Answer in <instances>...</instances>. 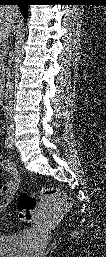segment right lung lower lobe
Here are the masks:
<instances>
[{
	"instance_id": "obj_1",
	"label": "right lung lower lobe",
	"mask_w": 106,
	"mask_h": 257,
	"mask_svg": "<svg viewBox=\"0 0 106 257\" xmlns=\"http://www.w3.org/2000/svg\"><path fill=\"white\" fill-rule=\"evenodd\" d=\"M31 0H0L1 4H16L18 5L24 18L27 16L28 5L31 4Z\"/></svg>"
}]
</instances>
